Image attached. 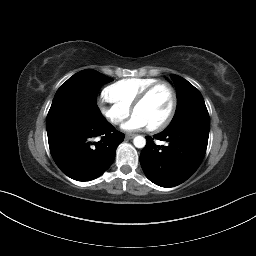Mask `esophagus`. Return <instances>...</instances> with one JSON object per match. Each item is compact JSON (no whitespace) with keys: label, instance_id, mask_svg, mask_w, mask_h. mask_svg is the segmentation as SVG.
<instances>
[{"label":"esophagus","instance_id":"34e87169","mask_svg":"<svg viewBox=\"0 0 256 256\" xmlns=\"http://www.w3.org/2000/svg\"><path fill=\"white\" fill-rule=\"evenodd\" d=\"M134 137H135V134H127V135L125 136V138H126L127 140L133 139Z\"/></svg>","mask_w":256,"mask_h":256}]
</instances>
